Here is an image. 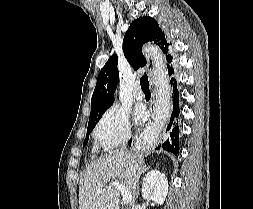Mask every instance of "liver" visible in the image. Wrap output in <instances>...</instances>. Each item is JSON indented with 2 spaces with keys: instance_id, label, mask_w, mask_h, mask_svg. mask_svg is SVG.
Returning <instances> with one entry per match:
<instances>
[{
  "instance_id": "6515ba94",
  "label": "liver",
  "mask_w": 253,
  "mask_h": 209,
  "mask_svg": "<svg viewBox=\"0 0 253 209\" xmlns=\"http://www.w3.org/2000/svg\"><path fill=\"white\" fill-rule=\"evenodd\" d=\"M139 154L112 151L89 165L79 183V209H115L119 191L108 183L118 182L131 194L133 179L144 168ZM98 189H104L98 193Z\"/></svg>"
}]
</instances>
